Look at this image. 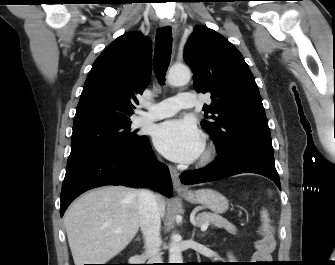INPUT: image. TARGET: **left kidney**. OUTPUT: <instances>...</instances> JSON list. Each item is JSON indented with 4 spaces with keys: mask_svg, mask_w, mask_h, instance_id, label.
Wrapping results in <instances>:
<instances>
[{
    "mask_svg": "<svg viewBox=\"0 0 335 265\" xmlns=\"http://www.w3.org/2000/svg\"><path fill=\"white\" fill-rule=\"evenodd\" d=\"M230 259H233L232 256H229ZM231 262H234L233 260H231Z\"/></svg>",
    "mask_w": 335,
    "mask_h": 265,
    "instance_id": "5707ae66",
    "label": "left kidney"
}]
</instances>
